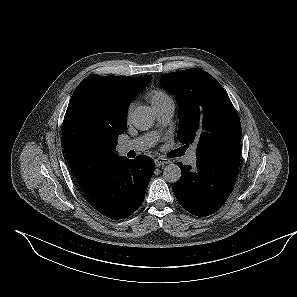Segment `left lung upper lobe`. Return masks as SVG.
<instances>
[{"label":"left lung upper lobe","mask_w":297,"mask_h":297,"mask_svg":"<svg viewBox=\"0 0 297 297\" xmlns=\"http://www.w3.org/2000/svg\"><path fill=\"white\" fill-rule=\"evenodd\" d=\"M161 85L179 105L177 137L187 147L197 145L196 157L241 141L238 114L212 75L198 68L181 70L164 74Z\"/></svg>","instance_id":"obj_1"}]
</instances>
